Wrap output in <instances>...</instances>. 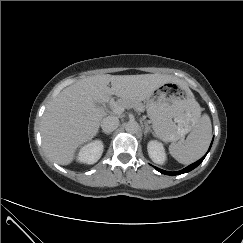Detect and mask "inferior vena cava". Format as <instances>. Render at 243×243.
Here are the masks:
<instances>
[{"mask_svg":"<svg viewBox=\"0 0 243 243\" xmlns=\"http://www.w3.org/2000/svg\"><path fill=\"white\" fill-rule=\"evenodd\" d=\"M119 126V119L116 116H107L101 122L104 132H112Z\"/></svg>","mask_w":243,"mask_h":243,"instance_id":"inferior-vena-cava-1","label":"inferior vena cava"}]
</instances>
